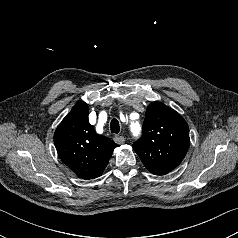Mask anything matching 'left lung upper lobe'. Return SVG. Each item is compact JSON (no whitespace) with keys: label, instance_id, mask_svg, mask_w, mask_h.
Here are the masks:
<instances>
[{"label":"left lung upper lobe","instance_id":"5c2ea615","mask_svg":"<svg viewBox=\"0 0 238 238\" xmlns=\"http://www.w3.org/2000/svg\"><path fill=\"white\" fill-rule=\"evenodd\" d=\"M189 144L184 118L172 108L152 102L146 110L142 137L133 149L152 174L165 175L181 163Z\"/></svg>","mask_w":238,"mask_h":238}]
</instances>
